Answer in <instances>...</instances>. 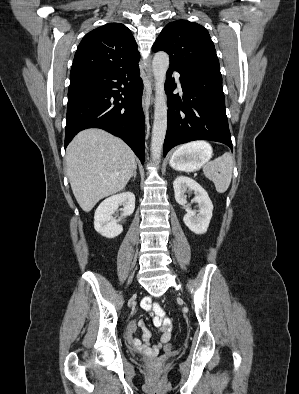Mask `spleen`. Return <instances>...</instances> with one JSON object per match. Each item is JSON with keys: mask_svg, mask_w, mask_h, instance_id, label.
Listing matches in <instances>:
<instances>
[{"mask_svg": "<svg viewBox=\"0 0 299 394\" xmlns=\"http://www.w3.org/2000/svg\"><path fill=\"white\" fill-rule=\"evenodd\" d=\"M188 147L204 146L210 149L211 146L203 141L193 142L188 145ZM233 171V158L230 153H224L222 156L216 158L215 160L208 162L203 167V172L205 176L213 181L216 191L218 193H225L231 183Z\"/></svg>", "mask_w": 299, "mask_h": 394, "instance_id": "spleen-1", "label": "spleen"}]
</instances>
